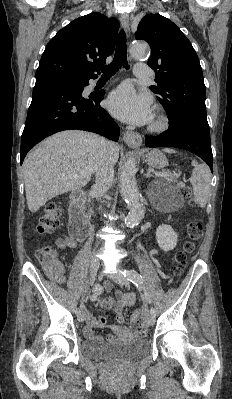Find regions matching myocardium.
Returning <instances> with one entry per match:
<instances>
[{
	"label": "myocardium",
	"instance_id": "1",
	"mask_svg": "<svg viewBox=\"0 0 232 399\" xmlns=\"http://www.w3.org/2000/svg\"><path fill=\"white\" fill-rule=\"evenodd\" d=\"M170 126L168 113L160 106L156 108L155 120L146 127V132L160 134L165 132Z\"/></svg>",
	"mask_w": 232,
	"mask_h": 399
}]
</instances>
